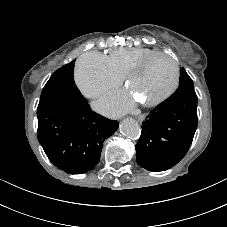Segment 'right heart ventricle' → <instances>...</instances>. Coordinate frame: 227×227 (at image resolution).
<instances>
[{"instance_id": "e07e8e85", "label": "right heart ventricle", "mask_w": 227, "mask_h": 227, "mask_svg": "<svg viewBox=\"0 0 227 227\" xmlns=\"http://www.w3.org/2000/svg\"><path fill=\"white\" fill-rule=\"evenodd\" d=\"M157 52L150 48L119 47L109 52L108 60L113 70L121 77H125L127 71L143 57Z\"/></svg>"}]
</instances>
